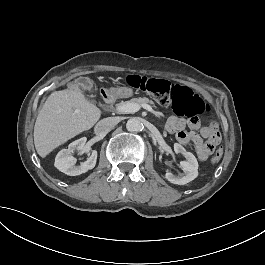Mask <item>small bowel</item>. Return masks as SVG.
<instances>
[{"instance_id":"c3829d8e","label":"small bowel","mask_w":265,"mask_h":265,"mask_svg":"<svg viewBox=\"0 0 265 265\" xmlns=\"http://www.w3.org/2000/svg\"><path fill=\"white\" fill-rule=\"evenodd\" d=\"M165 128L181 145H191L202 162L209 159L221 140L220 132L214 123L202 126L196 119L186 121L182 117L171 116Z\"/></svg>"}]
</instances>
